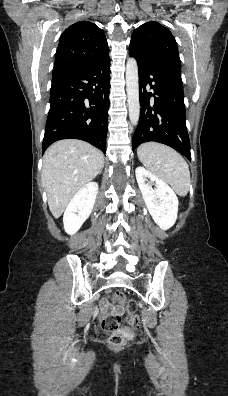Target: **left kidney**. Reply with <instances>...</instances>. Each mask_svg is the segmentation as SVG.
I'll return each instance as SVG.
<instances>
[{
    "mask_svg": "<svg viewBox=\"0 0 228 396\" xmlns=\"http://www.w3.org/2000/svg\"><path fill=\"white\" fill-rule=\"evenodd\" d=\"M135 173L142 197L153 220L163 230L171 228L178 213V198L175 192L142 166H138ZM152 184H155L154 189Z\"/></svg>",
    "mask_w": 228,
    "mask_h": 396,
    "instance_id": "5707ae66",
    "label": "left kidney"
}]
</instances>
